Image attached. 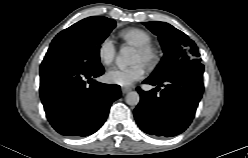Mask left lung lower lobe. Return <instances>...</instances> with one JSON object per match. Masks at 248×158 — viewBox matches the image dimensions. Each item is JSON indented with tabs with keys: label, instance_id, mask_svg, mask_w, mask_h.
Wrapping results in <instances>:
<instances>
[{
	"label": "left lung lower lobe",
	"instance_id": "left-lung-lower-lobe-1",
	"mask_svg": "<svg viewBox=\"0 0 248 158\" xmlns=\"http://www.w3.org/2000/svg\"><path fill=\"white\" fill-rule=\"evenodd\" d=\"M203 71L204 66L196 62L177 68L163 79L148 77L144 83L156 88L150 91L137 88L140 103L134 117L138 126L155 136L182 133L192 122L202 97Z\"/></svg>",
	"mask_w": 248,
	"mask_h": 158
}]
</instances>
